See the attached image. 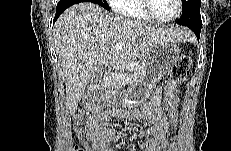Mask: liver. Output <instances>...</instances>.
<instances>
[{"instance_id":"obj_1","label":"liver","mask_w":231,"mask_h":151,"mask_svg":"<svg viewBox=\"0 0 231 151\" xmlns=\"http://www.w3.org/2000/svg\"><path fill=\"white\" fill-rule=\"evenodd\" d=\"M53 37L65 75L66 108L73 113L97 68L106 65L118 71L141 60L157 45L191 39L192 32L178 26H149L108 12L92 2H80L58 18ZM117 43L123 47L116 49Z\"/></svg>"}]
</instances>
